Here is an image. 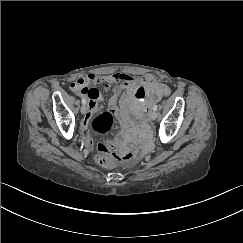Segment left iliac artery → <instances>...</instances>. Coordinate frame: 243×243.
Instances as JSON below:
<instances>
[{
	"label": "left iliac artery",
	"instance_id": "1",
	"mask_svg": "<svg viewBox=\"0 0 243 243\" xmlns=\"http://www.w3.org/2000/svg\"><path fill=\"white\" fill-rule=\"evenodd\" d=\"M157 108H158V106H157V105H155V106L153 107V111H156V110H157Z\"/></svg>",
	"mask_w": 243,
	"mask_h": 243
}]
</instances>
